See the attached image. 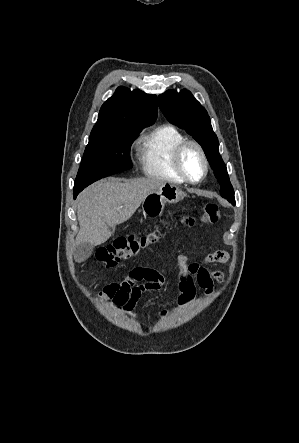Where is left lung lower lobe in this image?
<instances>
[{"instance_id":"0a47b994","label":"left lung lower lobe","mask_w":299,"mask_h":443,"mask_svg":"<svg viewBox=\"0 0 299 443\" xmlns=\"http://www.w3.org/2000/svg\"><path fill=\"white\" fill-rule=\"evenodd\" d=\"M232 204H235V201L231 202Z\"/></svg>"}]
</instances>
